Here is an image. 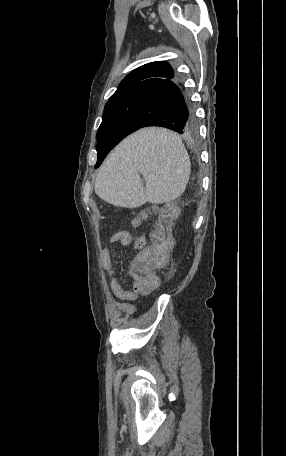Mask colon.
Segmentation results:
<instances>
[{"label":"colon","instance_id":"1","mask_svg":"<svg viewBox=\"0 0 286 456\" xmlns=\"http://www.w3.org/2000/svg\"><path fill=\"white\" fill-rule=\"evenodd\" d=\"M117 237L118 234H114L111 238L116 239ZM169 248L167 228L160 219L151 236V244L141 248V252L131 265L130 274L136 290L150 291L159 286L160 279L155 270L165 266Z\"/></svg>","mask_w":286,"mask_h":456}]
</instances>
